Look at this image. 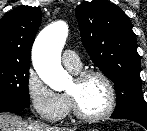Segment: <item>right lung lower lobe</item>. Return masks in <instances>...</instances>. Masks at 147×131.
Here are the masks:
<instances>
[{
  "label": "right lung lower lobe",
  "mask_w": 147,
  "mask_h": 131,
  "mask_svg": "<svg viewBox=\"0 0 147 131\" xmlns=\"http://www.w3.org/2000/svg\"><path fill=\"white\" fill-rule=\"evenodd\" d=\"M25 109V107H20L11 103L0 102V113L1 112H13L21 111Z\"/></svg>",
  "instance_id": "obj_1"
}]
</instances>
